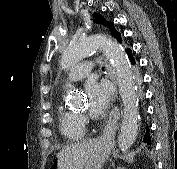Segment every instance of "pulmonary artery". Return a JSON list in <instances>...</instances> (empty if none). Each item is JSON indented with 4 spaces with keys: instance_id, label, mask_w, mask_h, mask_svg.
Listing matches in <instances>:
<instances>
[{
    "instance_id": "pulmonary-artery-1",
    "label": "pulmonary artery",
    "mask_w": 177,
    "mask_h": 169,
    "mask_svg": "<svg viewBox=\"0 0 177 169\" xmlns=\"http://www.w3.org/2000/svg\"><path fill=\"white\" fill-rule=\"evenodd\" d=\"M92 64V61H86L72 69L69 73L71 81L78 82L87 77L90 74V66Z\"/></svg>"
}]
</instances>
